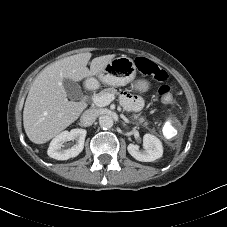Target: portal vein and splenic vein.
<instances>
[{"label": "portal vein and splenic vein", "instance_id": "portal-vein-and-splenic-vein-1", "mask_svg": "<svg viewBox=\"0 0 227 227\" xmlns=\"http://www.w3.org/2000/svg\"><path fill=\"white\" fill-rule=\"evenodd\" d=\"M114 98L115 97L113 94H106L103 96L94 95L92 97V101L98 107H105L109 105L114 100Z\"/></svg>", "mask_w": 227, "mask_h": 227}]
</instances>
